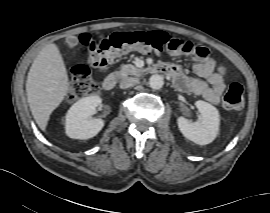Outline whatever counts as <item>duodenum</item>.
Here are the masks:
<instances>
[{
    "label": "duodenum",
    "instance_id": "410a0bca",
    "mask_svg": "<svg viewBox=\"0 0 270 213\" xmlns=\"http://www.w3.org/2000/svg\"><path fill=\"white\" fill-rule=\"evenodd\" d=\"M152 71L156 72V73L169 75L168 70L166 68H163V67H153ZM123 78H124V74L122 72H118L116 74L109 75L108 77H106L104 79L102 87L106 91H112L116 87L118 82Z\"/></svg>",
    "mask_w": 270,
    "mask_h": 213
}]
</instances>
